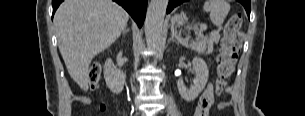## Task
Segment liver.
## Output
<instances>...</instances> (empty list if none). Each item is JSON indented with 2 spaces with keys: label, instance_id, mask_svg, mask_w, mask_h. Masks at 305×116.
Listing matches in <instances>:
<instances>
[{
  "label": "liver",
  "instance_id": "obj_1",
  "mask_svg": "<svg viewBox=\"0 0 305 116\" xmlns=\"http://www.w3.org/2000/svg\"><path fill=\"white\" fill-rule=\"evenodd\" d=\"M128 13L112 0H65L54 23L59 50L72 79L88 90L89 65L126 28Z\"/></svg>",
  "mask_w": 305,
  "mask_h": 116
}]
</instances>
